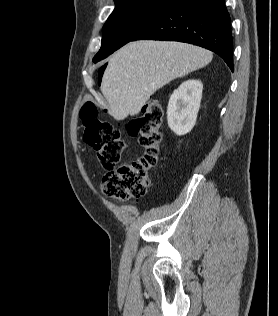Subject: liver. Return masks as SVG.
Instances as JSON below:
<instances>
[{"instance_id": "liver-1", "label": "liver", "mask_w": 278, "mask_h": 316, "mask_svg": "<svg viewBox=\"0 0 278 316\" xmlns=\"http://www.w3.org/2000/svg\"><path fill=\"white\" fill-rule=\"evenodd\" d=\"M212 52L170 41H136L109 60L101 82L108 113L116 120L137 115L158 89L208 65Z\"/></svg>"}]
</instances>
